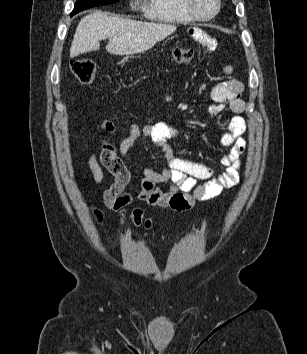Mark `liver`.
I'll list each match as a JSON object with an SVG mask.
<instances>
[{
    "label": "liver",
    "instance_id": "6515ba94",
    "mask_svg": "<svg viewBox=\"0 0 307 354\" xmlns=\"http://www.w3.org/2000/svg\"><path fill=\"white\" fill-rule=\"evenodd\" d=\"M177 29L170 24L140 22L109 16L99 11L86 15L79 22L70 48V57L96 51L100 41L109 42L106 50L113 55H131L151 49Z\"/></svg>",
    "mask_w": 307,
    "mask_h": 354
}]
</instances>
